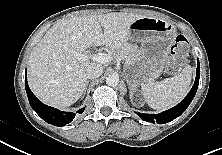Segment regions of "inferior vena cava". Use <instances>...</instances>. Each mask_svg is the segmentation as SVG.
<instances>
[{"mask_svg": "<svg viewBox=\"0 0 222 155\" xmlns=\"http://www.w3.org/2000/svg\"><path fill=\"white\" fill-rule=\"evenodd\" d=\"M103 73V67L99 64L92 63L90 64L85 71L86 77L88 79L98 78Z\"/></svg>", "mask_w": 222, "mask_h": 155, "instance_id": "1", "label": "inferior vena cava"}]
</instances>
